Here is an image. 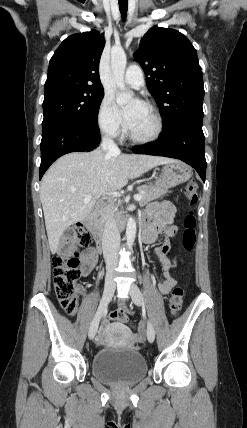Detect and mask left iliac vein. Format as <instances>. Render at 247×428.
Returning a JSON list of instances; mask_svg holds the SVG:
<instances>
[{
    "instance_id": "obj_1",
    "label": "left iliac vein",
    "mask_w": 247,
    "mask_h": 428,
    "mask_svg": "<svg viewBox=\"0 0 247 428\" xmlns=\"http://www.w3.org/2000/svg\"><path fill=\"white\" fill-rule=\"evenodd\" d=\"M130 296L132 298V301L137 306H141L143 303L142 294L136 284H131L129 289ZM147 339L150 343H152L155 339V330L150 321L147 322Z\"/></svg>"
}]
</instances>
